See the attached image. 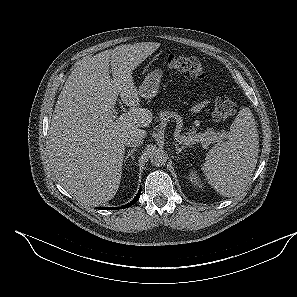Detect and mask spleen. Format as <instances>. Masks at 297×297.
Instances as JSON below:
<instances>
[{
  "instance_id": "1",
  "label": "spleen",
  "mask_w": 297,
  "mask_h": 297,
  "mask_svg": "<svg viewBox=\"0 0 297 297\" xmlns=\"http://www.w3.org/2000/svg\"><path fill=\"white\" fill-rule=\"evenodd\" d=\"M259 153V135L251 110L242 108L231 124L227 141L207 153L202 171L208 183L222 196L241 193L249 183Z\"/></svg>"
}]
</instances>
